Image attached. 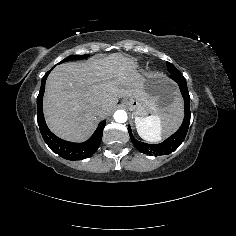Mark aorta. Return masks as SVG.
I'll return each instance as SVG.
<instances>
[{
	"label": "aorta",
	"instance_id": "aorta-1",
	"mask_svg": "<svg viewBox=\"0 0 236 236\" xmlns=\"http://www.w3.org/2000/svg\"><path fill=\"white\" fill-rule=\"evenodd\" d=\"M113 117L116 122L124 123L126 122L128 116L124 110H117L115 111Z\"/></svg>",
	"mask_w": 236,
	"mask_h": 236
}]
</instances>
